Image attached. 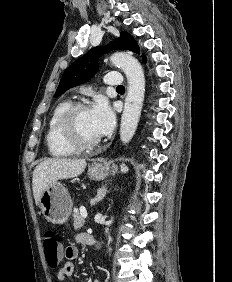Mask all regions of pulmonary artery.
Instances as JSON below:
<instances>
[{
  "mask_svg": "<svg viewBox=\"0 0 232 282\" xmlns=\"http://www.w3.org/2000/svg\"><path fill=\"white\" fill-rule=\"evenodd\" d=\"M104 81L110 86H120L122 85L123 79L119 72L111 71L106 74Z\"/></svg>",
  "mask_w": 232,
  "mask_h": 282,
  "instance_id": "obj_1",
  "label": "pulmonary artery"
}]
</instances>
